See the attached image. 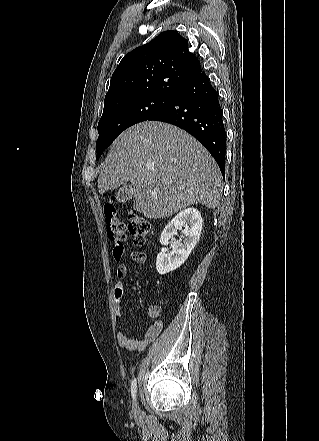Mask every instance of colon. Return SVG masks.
Masks as SVG:
<instances>
[{
    "instance_id": "colon-1",
    "label": "colon",
    "mask_w": 319,
    "mask_h": 441,
    "mask_svg": "<svg viewBox=\"0 0 319 441\" xmlns=\"http://www.w3.org/2000/svg\"><path fill=\"white\" fill-rule=\"evenodd\" d=\"M104 217L108 238L113 245L114 257L119 260L123 253L126 233L125 226L119 221L117 210L113 202H108L104 205ZM128 231L134 244L142 246L146 242L147 235L150 231V224L143 216L130 212Z\"/></svg>"
}]
</instances>
